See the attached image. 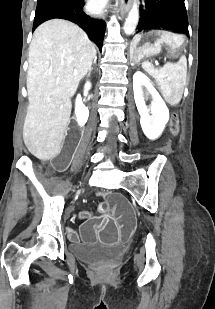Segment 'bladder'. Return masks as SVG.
I'll return each mask as SVG.
<instances>
[{"instance_id": "obj_1", "label": "bladder", "mask_w": 215, "mask_h": 309, "mask_svg": "<svg viewBox=\"0 0 215 309\" xmlns=\"http://www.w3.org/2000/svg\"><path fill=\"white\" fill-rule=\"evenodd\" d=\"M69 250L77 259L89 264L113 263L118 261L124 254V249L118 246L81 243L71 244Z\"/></svg>"}]
</instances>
